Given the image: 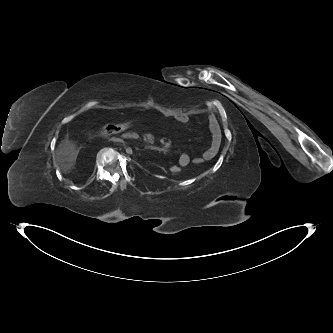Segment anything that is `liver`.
<instances>
[{
	"label": "liver",
	"instance_id": "obj_1",
	"mask_svg": "<svg viewBox=\"0 0 333 333\" xmlns=\"http://www.w3.org/2000/svg\"><path fill=\"white\" fill-rule=\"evenodd\" d=\"M68 136L69 135L67 134L66 138L61 141L56 153V160L63 173H69V171L75 166L79 153L77 144L72 140H69Z\"/></svg>",
	"mask_w": 333,
	"mask_h": 333
}]
</instances>
